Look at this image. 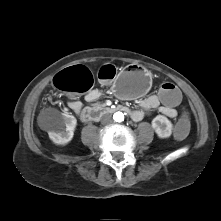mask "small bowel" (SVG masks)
Listing matches in <instances>:
<instances>
[{"instance_id": "small-bowel-1", "label": "small bowel", "mask_w": 221, "mask_h": 221, "mask_svg": "<svg viewBox=\"0 0 221 221\" xmlns=\"http://www.w3.org/2000/svg\"><path fill=\"white\" fill-rule=\"evenodd\" d=\"M100 96V90L91 89L86 93L85 100L91 103L98 100ZM139 105L141 109L131 112V117L134 121H141L147 113L153 110H158L160 113L168 118H175L178 115L176 109H168L167 107L163 106L157 95H149L140 99ZM68 106L78 115L82 114V112L84 111L82 103L73 97H70Z\"/></svg>"}]
</instances>
